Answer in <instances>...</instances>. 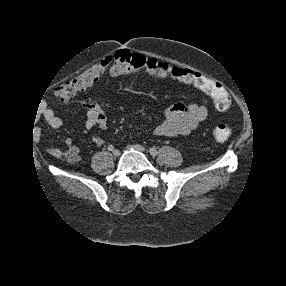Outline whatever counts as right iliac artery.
I'll list each match as a JSON object with an SVG mask.
<instances>
[{
	"mask_svg": "<svg viewBox=\"0 0 286 286\" xmlns=\"http://www.w3.org/2000/svg\"><path fill=\"white\" fill-rule=\"evenodd\" d=\"M113 149H114V146H113V145H109V146H108V150H109V151H113Z\"/></svg>",
	"mask_w": 286,
	"mask_h": 286,
	"instance_id": "1",
	"label": "right iliac artery"
}]
</instances>
